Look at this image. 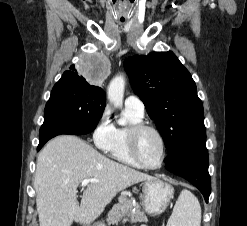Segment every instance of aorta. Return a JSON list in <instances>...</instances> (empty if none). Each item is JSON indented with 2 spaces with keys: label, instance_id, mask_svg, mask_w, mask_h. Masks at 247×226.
<instances>
[{
  "label": "aorta",
  "instance_id": "obj_1",
  "mask_svg": "<svg viewBox=\"0 0 247 226\" xmlns=\"http://www.w3.org/2000/svg\"><path fill=\"white\" fill-rule=\"evenodd\" d=\"M124 89H125V78L123 75H117L114 77L107 90V95L109 101L115 107H121L123 104V97H124Z\"/></svg>",
  "mask_w": 247,
  "mask_h": 226
}]
</instances>
